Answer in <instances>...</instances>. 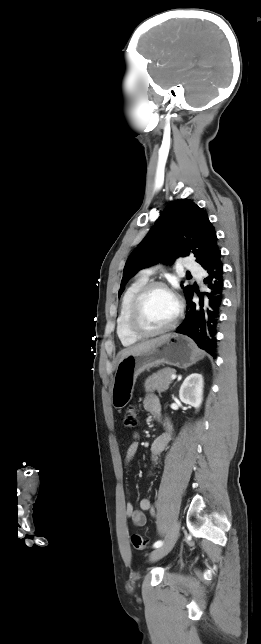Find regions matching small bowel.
I'll return each mask as SVG.
<instances>
[{
    "label": "small bowel",
    "mask_w": 261,
    "mask_h": 644,
    "mask_svg": "<svg viewBox=\"0 0 261 644\" xmlns=\"http://www.w3.org/2000/svg\"><path fill=\"white\" fill-rule=\"evenodd\" d=\"M144 409L151 413L152 415L159 417L161 413V405L159 398L156 395H147L143 400ZM172 438V427L169 422H166V431L160 434L152 442L150 447L152 467L155 466L158 462L159 456L167 447L168 443ZM139 448V441L137 434L134 435V439L129 444L127 453H126V463L128 464L136 455ZM152 473L150 470L149 474ZM140 509L137 510L134 508L133 504L128 502L125 505V516L132 521V523L137 527H142L146 524V512L151 508V502L148 498H142L139 502Z\"/></svg>",
    "instance_id": "1"
}]
</instances>
